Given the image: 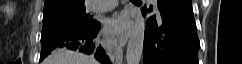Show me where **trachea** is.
I'll return each instance as SVG.
<instances>
[{
  "instance_id": "1",
  "label": "trachea",
  "mask_w": 242,
  "mask_h": 64,
  "mask_svg": "<svg viewBox=\"0 0 242 64\" xmlns=\"http://www.w3.org/2000/svg\"><path fill=\"white\" fill-rule=\"evenodd\" d=\"M132 2H140V0H131Z\"/></svg>"
}]
</instances>
